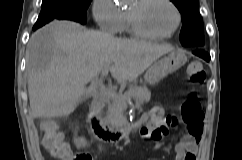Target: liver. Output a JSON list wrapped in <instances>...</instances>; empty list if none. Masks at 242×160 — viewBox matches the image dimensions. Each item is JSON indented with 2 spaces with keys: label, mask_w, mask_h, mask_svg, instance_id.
<instances>
[{
  "label": "liver",
  "mask_w": 242,
  "mask_h": 160,
  "mask_svg": "<svg viewBox=\"0 0 242 160\" xmlns=\"http://www.w3.org/2000/svg\"><path fill=\"white\" fill-rule=\"evenodd\" d=\"M170 44H157L86 30L71 21H53L32 34L26 73L33 117L70 115L85 96V85L113 64L112 77L135 81Z\"/></svg>",
  "instance_id": "liver-1"
}]
</instances>
